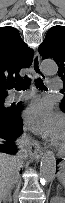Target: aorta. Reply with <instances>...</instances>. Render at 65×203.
<instances>
[{
    "mask_svg": "<svg viewBox=\"0 0 65 203\" xmlns=\"http://www.w3.org/2000/svg\"><path fill=\"white\" fill-rule=\"evenodd\" d=\"M41 71L46 75H54L58 66L53 60H44L41 63ZM56 173V158L53 152H46L40 161V181L46 185L53 181Z\"/></svg>",
    "mask_w": 65,
    "mask_h": 203,
    "instance_id": "1",
    "label": "aorta"
}]
</instances>
